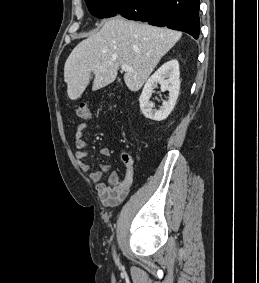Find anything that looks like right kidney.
Listing matches in <instances>:
<instances>
[{
    "label": "right kidney",
    "instance_id": "ca27d5eb",
    "mask_svg": "<svg viewBox=\"0 0 259 283\" xmlns=\"http://www.w3.org/2000/svg\"><path fill=\"white\" fill-rule=\"evenodd\" d=\"M179 63L173 59L164 63L145 83L140 95V109L143 115L151 120L162 121L172 112L178 99L180 90ZM161 85L163 91H169V98L163 102L159 110L153 109L154 105L149 102L150 97L157 84Z\"/></svg>",
    "mask_w": 259,
    "mask_h": 283
}]
</instances>
